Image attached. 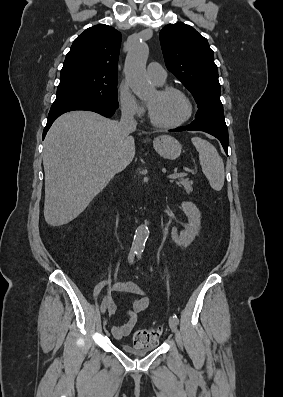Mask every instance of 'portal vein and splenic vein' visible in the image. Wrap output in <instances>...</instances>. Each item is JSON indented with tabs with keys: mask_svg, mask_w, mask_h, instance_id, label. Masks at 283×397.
<instances>
[{
	"mask_svg": "<svg viewBox=\"0 0 283 397\" xmlns=\"http://www.w3.org/2000/svg\"><path fill=\"white\" fill-rule=\"evenodd\" d=\"M184 176H186V173H184V172H181V173L175 172V173L169 174L167 177L170 179H176V178H181Z\"/></svg>",
	"mask_w": 283,
	"mask_h": 397,
	"instance_id": "portal-vein-and-splenic-vein-1",
	"label": "portal vein and splenic vein"
}]
</instances>
